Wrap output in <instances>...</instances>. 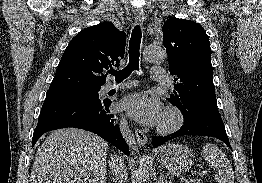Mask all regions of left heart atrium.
Returning a JSON list of instances; mask_svg holds the SVG:
<instances>
[{
  "mask_svg": "<svg viewBox=\"0 0 262 183\" xmlns=\"http://www.w3.org/2000/svg\"><path fill=\"white\" fill-rule=\"evenodd\" d=\"M121 107L135 121L144 126H156L160 123L163 110L162 105L156 98H149L144 93H136L126 97Z\"/></svg>",
  "mask_w": 262,
  "mask_h": 183,
  "instance_id": "1",
  "label": "left heart atrium"
}]
</instances>
